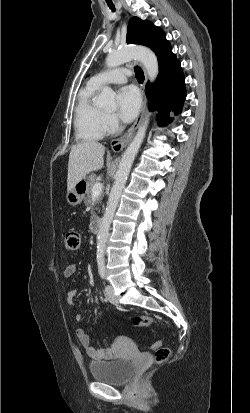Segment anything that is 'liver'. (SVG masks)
Masks as SVG:
<instances>
[{
  "mask_svg": "<svg viewBox=\"0 0 250 413\" xmlns=\"http://www.w3.org/2000/svg\"><path fill=\"white\" fill-rule=\"evenodd\" d=\"M105 147L97 141H85L71 148L68 161L67 191L85 176L102 168Z\"/></svg>",
  "mask_w": 250,
  "mask_h": 413,
  "instance_id": "liver-1",
  "label": "liver"
}]
</instances>
